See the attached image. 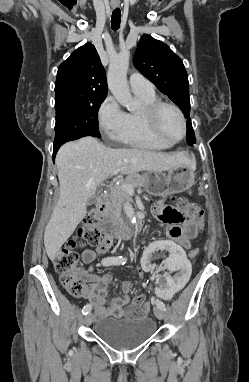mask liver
Listing matches in <instances>:
<instances>
[{
    "label": "liver",
    "mask_w": 249,
    "mask_h": 382,
    "mask_svg": "<svg viewBox=\"0 0 249 382\" xmlns=\"http://www.w3.org/2000/svg\"><path fill=\"white\" fill-rule=\"evenodd\" d=\"M60 194L44 232V245L54 260L87 212L88 200L97 187L120 169L121 176L139 171L162 172L179 165L196 168L195 159L183 153L142 149H113L86 136L65 143L56 156Z\"/></svg>",
    "instance_id": "1"
}]
</instances>
